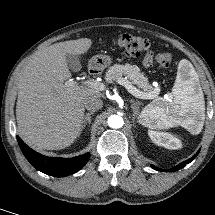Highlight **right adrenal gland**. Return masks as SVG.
Instances as JSON below:
<instances>
[{"label": "right adrenal gland", "instance_id": "1", "mask_svg": "<svg viewBox=\"0 0 215 215\" xmlns=\"http://www.w3.org/2000/svg\"><path fill=\"white\" fill-rule=\"evenodd\" d=\"M93 114H94V112L91 111V112H89V113H87L85 115L82 129H84L86 127V125L90 124V122H91V115H93Z\"/></svg>", "mask_w": 215, "mask_h": 215}]
</instances>
